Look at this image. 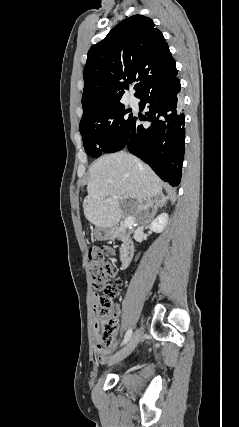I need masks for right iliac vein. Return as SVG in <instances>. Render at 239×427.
Listing matches in <instances>:
<instances>
[{"label": "right iliac vein", "instance_id": "right-iliac-vein-1", "mask_svg": "<svg viewBox=\"0 0 239 427\" xmlns=\"http://www.w3.org/2000/svg\"><path fill=\"white\" fill-rule=\"evenodd\" d=\"M140 340V331L137 330L124 348L117 352L111 359L110 364L121 361L132 353Z\"/></svg>", "mask_w": 239, "mask_h": 427}]
</instances>
